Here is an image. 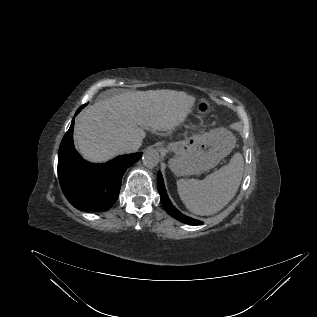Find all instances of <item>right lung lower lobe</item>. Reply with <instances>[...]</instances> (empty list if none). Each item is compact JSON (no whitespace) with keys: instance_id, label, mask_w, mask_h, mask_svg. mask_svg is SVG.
Instances as JSON below:
<instances>
[{"instance_id":"obj_1","label":"right lung lower lobe","mask_w":317,"mask_h":317,"mask_svg":"<svg viewBox=\"0 0 317 317\" xmlns=\"http://www.w3.org/2000/svg\"><path fill=\"white\" fill-rule=\"evenodd\" d=\"M73 127L74 118L58 153V177L62 191L75 208L105 211L117 201L124 172L140 159L142 153L122 155L105 164H91L84 161L74 148Z\"/></svg>"}]
</instances>
